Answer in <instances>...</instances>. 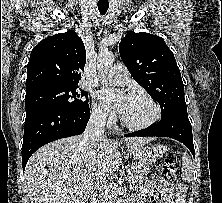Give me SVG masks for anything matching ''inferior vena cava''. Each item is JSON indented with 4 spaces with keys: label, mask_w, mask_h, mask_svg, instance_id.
Returning <instances> with one entry per match:
<instances>
[{
    "label": "inferior vena cava",
    "mask_w": 222,
    "mask_h": 203,
    "mask_svg": "<svg viewBox=\"0 0 222 203\" xmlns=\"http://www.w3.org/2000/svg\"><path fill=\"white\" fill-rule=\"evenodd\" d=\"M106 124V114L94 112L91 114L89 122L83 134V143L87 147H96L99 140H105L104 135ZM91 203H108L107 185L105 179L97 180L91 191Z\"/></svg>",
    "instance_id": "1"
}]
</instances>
